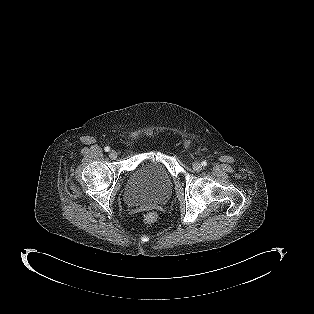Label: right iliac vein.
Masks as SVG:
<instances>
[{
	"mask_svg": "<svg viewBox=\"0 0 314 314\" xmlns=\"http://www.w3.org/2000/svg\"><path fill=\"white\" fill-rule=\"evenodd\" d=\"M117 156H118V153H117L115 150L110 151L109 157H110L111 159H116Z\"/></svg>",
	"mask_w": 314,
	"mask_h": 314,
	"instance_id": "right-iliac-vein-1",
	"label": "right iliac vein"
}]
</instances>
